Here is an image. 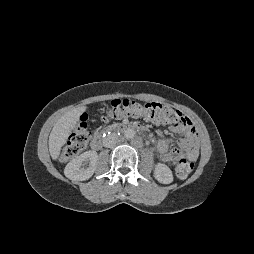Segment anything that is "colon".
Masks as SVG:
<instances>
[{
	"mask_svg": "<svg viewBox=\"0 0 254 254\" xmlns=\"http://www.w3.org/2000/svg\"><path fill=\"white\" fill-rule=\"evenodd\" d=\"M124 116L136 118L142 117L146 120L170 124L173 126H185L190 123L189 118L184 116L180 111L158 102L141 104L128 99L112 101L107 108L106 117L121 118ZM90 137L91 131L85 119L82 118L80 123L73 129L63 146L60 156L61 161H68L84 151ZM173 168L177 177L185 179L193 171L194 163L192 161L182 159L176 161Z\"/></svg>",
	"mask_w": 254,
	"mask_h": 254,
	"instance_id": "5ec220e1",
	"label": "colon"
}]
</instances>
